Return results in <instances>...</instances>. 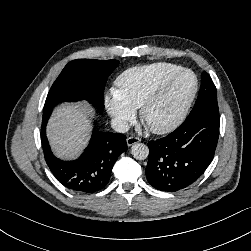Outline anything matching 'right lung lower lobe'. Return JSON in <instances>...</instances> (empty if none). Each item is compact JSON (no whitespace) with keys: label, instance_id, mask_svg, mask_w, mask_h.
<instances>
[{"label":"right lung lower lobe","instance_id":"1","mask_svg":"<svg viewBox=\"0 0 251 251\" xmlns=\"http://www.w3.org/2000/svg\"><path fill=\"white\" fill-rule=\"evenodd\" d=\"M51 112L43 114L41 142L45 161L53 175L63 186L74 192L93 193L103 189L109 182L117 158L127 151L126 136L94 130L82 155L73 161H63L53 154L46 136V125Z\"/></svg>","mask_w":251,"mask_h":251}]
</instances>
